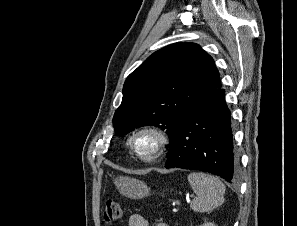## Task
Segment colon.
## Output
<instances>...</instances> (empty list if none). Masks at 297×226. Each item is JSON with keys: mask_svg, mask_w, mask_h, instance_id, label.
<instances>
[{"mask_svg": "<svg viewBox=\"0 0 297 226\" xmlns=\"http://www.w3.org/2000/svg\"><path fill=\"white\" fill-rule=\"evenodd\" d=\"M103 217L108 224L118 222L121 218V208L119 203L115 200H108L105 204Z\"/></svg>", "mask_w": 297, "mask_h": 226, "instance_id": "obj_1", "label": "colon"}]
</instances>
